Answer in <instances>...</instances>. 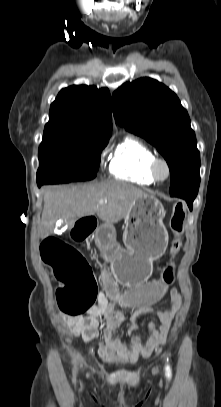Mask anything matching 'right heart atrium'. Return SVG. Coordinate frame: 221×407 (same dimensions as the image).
I'll use <instances>...</instances> for the list:
<instances>
[{"mask_svg": "<svg viewBox=\"0 0 221 407\" xmlns=\"http://www.w3.org/2000/svg\"><path fill=\"white\" fill-rule=\"evenodd\" d=\"M105 153H106V151H105V150H103V151H102V153H101V156H100V160H101V162L103 161V158H104V156H105Z\"/></svg>", "mask_w": 221, "mask_h": 407, "instance_id": "right-heart-atrium-1", "label": "right heart atrium"}]
</instances>
